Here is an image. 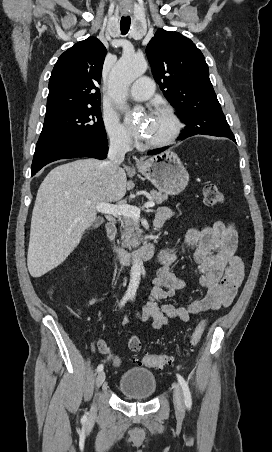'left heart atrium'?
<instances>
[{"label": "left heart atrium", "mask_w": 272, "mask_h": 452, "mask_svg": "<svg viewBox=\"0 0 272 452\" xmlns=\"http://www.w3.org/2000/svg\"><path fill=\"white\" fill-rule=\"evenodd\" d=\"M127 124L130 127L133 134L137 137H145L148 130V125L146 121H141L135 123L131 117L127 118Z\"/></svg>", "instance_id": "1"}]
</instances>
